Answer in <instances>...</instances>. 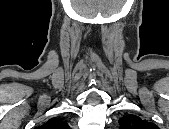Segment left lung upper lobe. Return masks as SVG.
I'll list each match as a JSON object with an SVG mask.
<instances>
[{
  "label": "left lung upper lobe",
  "mask_w": 169,
  "mask_h": 129,
  "mask_svg": "<svg viewBox=\"0 0 169 129\" xmlns=\"http://www.w3.org/2000/svg\"><path fill=\"white\" fill-rule=\"evenodd\" d=\"M120 129H157V125L142 120L136 115H128L119 119Z\"/></svg>",
  "instance_id": "1"
}]
</instances>
